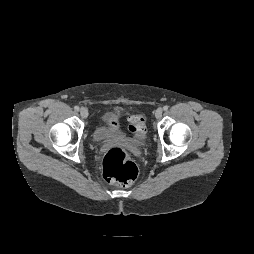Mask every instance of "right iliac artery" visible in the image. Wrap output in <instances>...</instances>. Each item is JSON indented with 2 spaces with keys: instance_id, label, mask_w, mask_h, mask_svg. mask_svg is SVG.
Masks as SVG:
<instances>
[{
  "instance_id": "obj_1",
  "label": "right iliac artery",
  "mask_w": 254,
  "mask_h": 254,
  "mask_svg": "<svg viewBox=\"0 0 254 254\" xmlns=\"http://www.w3.org/2000/svg\"><path fill=\"white\" fill-rule=\"evenodd\" d=\"M74 110H75V111H79V107H78V106H75V107H74Z\"/></svg>"
}]
</instances>
